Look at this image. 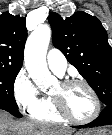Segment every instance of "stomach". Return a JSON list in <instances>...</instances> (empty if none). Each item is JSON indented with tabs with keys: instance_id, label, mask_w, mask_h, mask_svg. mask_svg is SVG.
I'll return each instance as SVG.
<instances>
[{
	"instance_id": "obj_1",
	"label": "stomach",
	"mask_w": 112,
	"mask_h": 135,
	"mask_svg": "<svg viewBox=\"0 0 112 135\" xmlns=\"http://www.w3.org/2000/svg\"><path fill=\"white\" fill-rule=\"evenodd\" d=\"M75 135H106V133L103 132L102 134H95L92 131H80V132H77Z\"/></svg>"
}]
</instances>
